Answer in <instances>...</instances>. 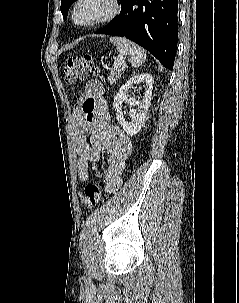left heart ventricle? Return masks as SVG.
Listing matches in <instances>:
<instances>
[{
    "label": "left heart ventricle",
    "instance_id": "b2bd125f",
    "mask_svg": "<svg viewBox=\"0 0 239 303\" xmlns=\"http://www.w3.org/2000/svg\"><path fill=\"white\" fill-rule=\"evenodd\" d=\"M110 9L107 0H83L77 9V20L88 22L100 17Z\"/></svg>",
    "mask_w": 239,
    "mask_h": 303
}]
</instances>
